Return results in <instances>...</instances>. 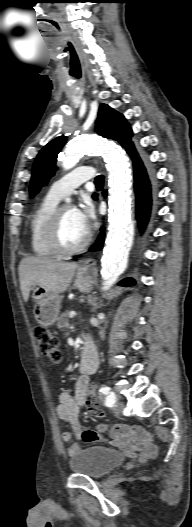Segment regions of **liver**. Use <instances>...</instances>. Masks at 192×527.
<instances>
[{
    "label": "liver",
    "mask_w": 192,
    "mask_h": 527,
    "mask_svg": "<svg viewBox=\"0 0 192 527\" xmlns=\"http://www.w3.org/2000/svg\"><path fill=\"white\" fill-rule=\"evenodd\" d=\"M76 263L56 261L44 257H25L19 264L22 296L28 301L33 286H40L53 294L65 292L75 274Z\"/></svg>",
    "instance_id": "obj_1"
}]
</instances>
